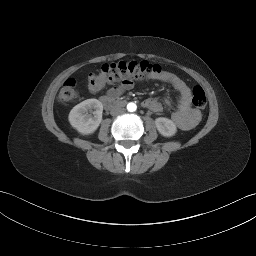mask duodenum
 I'll list each match as a JSON object with an SVG mask.
<instances>
[{
  "mask_svg": "<svg viewBox=\"0 0 256 256\" xmlns=\"http://www.w3.org/2000/svg\"><path fill=\"white\" fill-rule=\"evenodd\" d=\"M102 104L107 110L119 109L125 106V101L117 100L111 96L105 95L102 97Z\"/></svg>",
  "mask_w": 256,
  "mask_h": 256,
  "instance_id": "410a0bca",
  "label": "duodenum"
}]
</instances>
